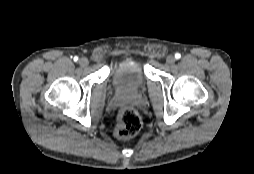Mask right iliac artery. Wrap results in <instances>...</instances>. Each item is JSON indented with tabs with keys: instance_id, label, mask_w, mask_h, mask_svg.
I'll return each instance as SVG.
<instances>
[{
	"instance_id": "obj_1",
	"label": "right iliac artery",
	"mask_w": 254,
	"mask_h": 174,
	"mask_svg": "<svg viewBox=\"0 0 254 174\" xmlns=\"http://www.w3.org/2000/svg\"><path fill=\"white\" fill-rule=\"evenodd\" d=\"M73 60H74L75 62L78 61V57L75 56Z\"/></svg>"
}]
</instances>
